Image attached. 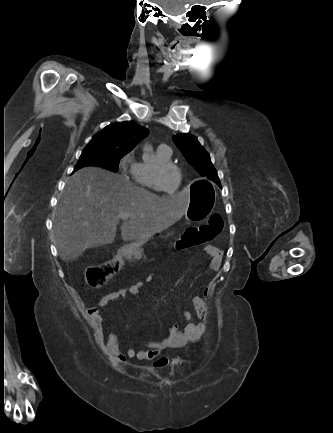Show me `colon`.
I'll return each mask as SVG.
<instances>
[{"mask_svg":"<svg viewBox=\"0 0 333 433\" xmlns=\"http://www.w3.org/2000/svg\"><path fill=\"white\" fill-rule=\"evenodd\" d=\"M222 229L223 220L221 216L213 214L204 224L186 229L179 241L176 237H173L171 242L176 244L177 249L202 246L213 241L221 233ZM121 267L122 262L117 257L105 263L92 266L86 270V282L90 287H99ZM168 362L167 358H160L154 363V367H164Z\"/></svg>","mask_w":333,"mask_h":433,"instance_id":"obj_1","label":"colon"}]
</instances>
